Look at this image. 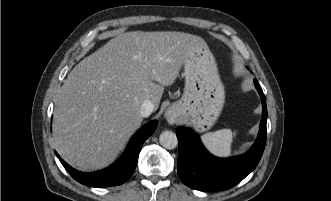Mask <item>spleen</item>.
Segmentation results:
<instances>
[{"label": "spleen", "instance_id": "3e777b00", "mask_svg": "<svg viewBox=\"0 0 331 201\" xmlns=\"http://www.w3.org/2000/svg\"><path fill=\"white\" fill-rule=\"evenodd\" d=\"M235 135L236 132H232L230 129H221L204 134L201 140L213 155L228 157L231 154V145Z\"/></svg>", "mask_w": 331, "mask_h": 201}]
</instances>
